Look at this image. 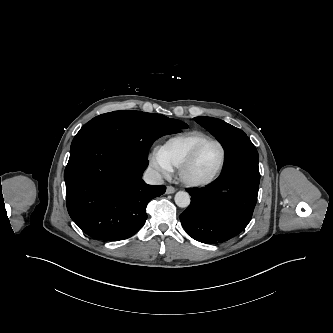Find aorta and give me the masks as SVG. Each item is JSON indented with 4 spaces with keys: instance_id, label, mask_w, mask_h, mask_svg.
Instances as JSON below:
<instances>
[{
    "instance_id": "aorta-1",
    "label": "aorta",
    "mask_w": 333,
    "mask_h": 333,
    "mask_svg": "<svg viewBox=\"0 0 333 333\" xmlns=\"http://www.w3.org/2000/svg\"><path fill=\"white\" fill-rule=\"evenodd\" d=\"M175 203L180 208L188 207L190 204V195L185 191H179L174 197Z\"/></svg>"
}]
</instances>
